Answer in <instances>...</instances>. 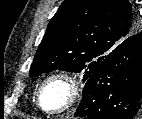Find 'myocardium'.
<instances>
[{
	"instance_id": "f54148a6",
	"label": "myocardium",
	"mask_w": 142,
	"mask_h": 119,
	"mask_svg": "<svg viewBox=\"0 0 142 119\" xmlns=\"http://www.w3.org/2000/svg\"><path fill=\"white\" fill-rule=\"evenodd\" d=\"M54 82H62L67 87L68 95L65 102L60 107L47 108L42 102L43 94L46 88ZM80 94L81 83L74 74H71L69 72H57L49 75L42 82L36 95V103L39 109L44 113L49 115H59L72 109L78 102Z\"/></svg>"
}]
</instances>
